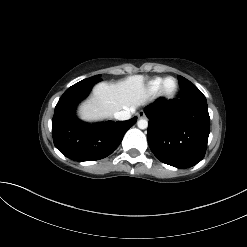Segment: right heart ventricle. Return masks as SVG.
Wrapping results in <instances>:
<instances>
[{
  "instance_id": "1",
  "label": "right heart ventricle",
  "mask_w": 247,
  "mask_h": 247,
  "mask_svg": "<svg viewBox=\"0 0 247 247\" xmlns=\"http://www.w3.org/2000/svg\"><path fill=\"white\" fill-rule=\"evenodd\" d=\"M163 80H164V78H161V77H156V78L152 79L147 85L148 92L150 94L157 93L161 88Z\"/></svg>"
}]
</instances>
